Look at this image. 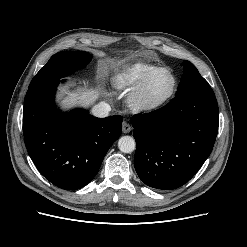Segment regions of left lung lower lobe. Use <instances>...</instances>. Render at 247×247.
<instances>
[{
    "instance_id": "0a47b994",
    "label": "left lung lower lobe",
    "mask_w": 247,
    "mask_h": 247,
    "mask_svg": "<svg viewBox=\"0 0 247 247\" xmlns=\"http://www.w3.org/2000/svg\"><path fill=\"white\" fill-rule=\"evenodd\" d=\"M219 125L213 91L175 95L164 107L132 117L134 166L148 186L176 189L187 183L209 157Z\"/></svg>"
}]
</instances>
